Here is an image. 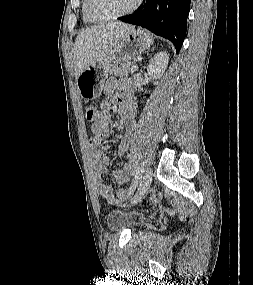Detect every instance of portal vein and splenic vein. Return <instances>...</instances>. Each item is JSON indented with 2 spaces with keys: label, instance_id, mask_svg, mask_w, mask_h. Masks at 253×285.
<instances>
[{
  "label": "portal vein and splenic vein",
  "instance_id": "obj_1",
  "mask_svg": "<svg viewBox=\"0 0 253 285\" xmlns=\"http://www.w3.org/2000/svg\"><path fill=\"white\" fill-rule=\"evenodd\" d=\"M137 69H138V66H137V65H133L132 68H131V71L134 72V71H136Z\"/></svg>",
  "mask_w": 253,
  "mask_h": 285
}]
</instances>
